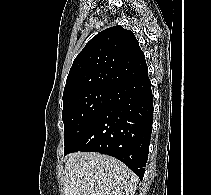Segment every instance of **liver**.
<instances>
[{
	"label": "liver",
	"mask_w": 211,
	"mask_h": 195,
	"mask_svg": "<svg viewBox=\"0 0 211 195\" xmlns=\"http://www.w3.org/2000/svg\"><path fill=\"white\" fill-rule=\"evenodd\" d=\"M138 177L118 159L97 152L68 156L63 195H134Z\"/></svg>",
	"instance_id": "1"
}]
</instances>
